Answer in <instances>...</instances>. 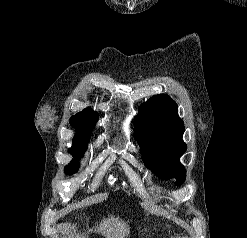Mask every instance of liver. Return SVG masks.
I'll list each match as a JSON object with an SVG mask.
<instances>
[{"instance_id":"obj_1","label":"liver","mask_w":247,"mask_h":238,"mask_svg":"<svg viewBox=\"0 0 247 238\" xmlns=\"http://www.w3.org/2000/svg\"><path fill=\"white\" fill-rule=\"evenodd\" d=\"M98 233L106 236L107 238H124L129 233L125 223L111 217V219L104 220L97 229Z\"/></svg>"}]
</instances>
